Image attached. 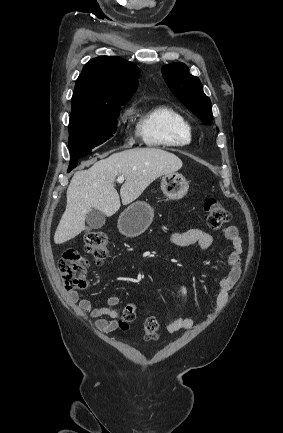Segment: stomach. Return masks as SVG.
I'll return each instance as SVG.
<instances>
[{
	"label": "stomach",
	"mask_w": 283,
	"mask_h": 433,
	"mask_svg": "<svg viewBox=\"0 0 283 433\" xmlns=\"http://www.w3.org/2000/svg\"><path fill=\"white\" fill-rule=\"evenodd\" d=\"M188 188L189 184L183 174L169 172V174L162 176L161 190L171 200L183 198L187 194ZM153 214L154 210L150 204L143 202V200H137L121 212L118 229L126 237H138L146 229L147 221L153 219Z\"/></svg>",
	"instance_id": "0dacf381"
}]
</instances>
